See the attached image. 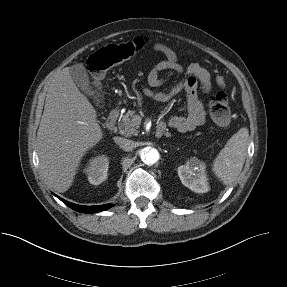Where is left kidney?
<instances>
[{
    "mask_svg": "<svg viewBox=\"0 0 287 287\" xmlns=\"http://www.w3.org/2000/svg\"><path fill=\"white\" fill-rule=\"evenodd\" d=\"M178 175L182 184L196 193L209 191L205 165L198 158L191 157L185 165L178 167Z\"/></svg>",
    "mask_w": 287,
    "mask_h": 287,
    "instance_id": "5707ae66",
    "label": "left kidney"
}]
</instances>
